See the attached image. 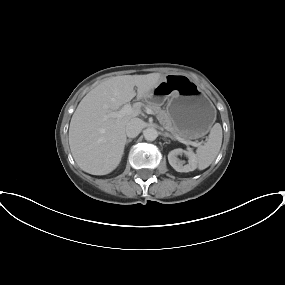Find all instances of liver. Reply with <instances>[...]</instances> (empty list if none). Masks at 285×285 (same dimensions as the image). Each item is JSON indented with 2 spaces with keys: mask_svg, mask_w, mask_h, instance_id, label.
<instances>
[{
  "mask_svg": "<svg viewBox=\"0 0 285 285\" xmlns=\"http://www.w3.org/2000/svg\"><path fill=\"white\" fill-rule=\"evenodd\" d=\"M161 78L160 73L111 77L81 100L71 118L69 145L75 162L83 171L106 175L118 166L126 144V126L139 115L142 103H135L133 112L121 118L110 114L136 95L137 100L145 98Z\"/></svg>",
  "mask_w": 285,
  "mask_h": 285,
  "instance_id": "liver-1",
  "label": "liver"
}]
</instances>
